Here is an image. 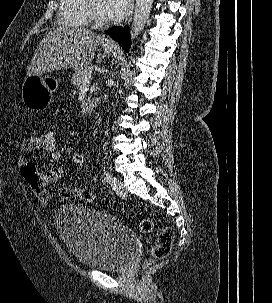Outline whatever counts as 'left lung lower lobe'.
Masks as SVG:
<instances>
[{
	"label": "left lung lower lobe",
	"mask_w": 272,
	"mask_h": 303,
	"mask_svg": "<svg viewBox=\"0 0 272 303\" xmlns=\"http://www.w3.org/2000/svg\"><path fill=\"white\" fill-rule=\"evenodd\" d=\"M106 33L110 35L112 38H114L115 40H117L125 51L127 52L129 51L130 34H129V29L127 27H125L124 29L121 26L116 27L107 30Z\"/></svg>",
	"instance_id": "1"
}]
</instances>
